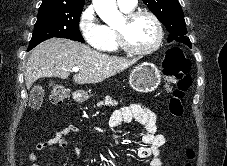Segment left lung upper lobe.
I'll list each match as a JSON object with an SVG mask.
<instances>
[{
    "mask_svg": "<svg viewBox=\"0 0 227 166\" xmlns=\"http://www.w3.org/2000/svg\"><path fill=\"white\" fill-rule=\"evenodd\" d=\"M169 32V41L176 40L191 47L184 14L178 0H142Z\"/></svg>",
    "mask_w": 227,
    "mask_h": 166,
    "instance_id": "5c2ea615",
    "label": "left lung upper lobe"
}]
</instances>
